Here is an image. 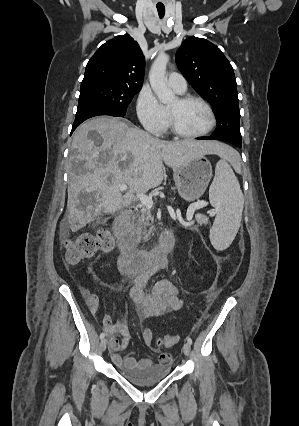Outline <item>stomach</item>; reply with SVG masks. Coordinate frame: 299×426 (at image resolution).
<instances>
[{"label": "stomach", "instance_id": "1", "mask_svg": "<svg viewBox=\"0 0 299 426\" xmlns=\"http://www.w3.org/2000/svg\"><path fill=\"white\" fill-rule=\"evenodd\" d=\"M173 171L178 193L188 202L200 198L212 178L211 163L204 155Z\"/></svg>", "mask_w": 299, "mask_h": 426}]
</instances>
